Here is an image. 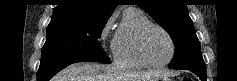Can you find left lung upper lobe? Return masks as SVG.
<instances>
[{"mask_svg":"<svg viewBox=\"0 0 237 81\" xmlns=\"http://www.w3.org/2000/svg\"><path fill=\"white\" fill-rule=\"evenodd\" d=\"M142 7L171 36L175 54L171 69L206 70L193 22L182 0H139Z\"/></svg>","mask_w":237,"mask_h":81,"instance_id":"left-lung-upper-lobe-1","label":"left lung upper lobe"}]
</instances>
